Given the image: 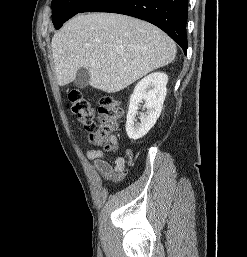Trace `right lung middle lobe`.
I'll use <instances>...</instances> for the list:
<instances>
[{"mask_svg":"<svg viewBox=\"0 0 247 257\" xmlns=\"http://www.w3.org/2000/svg\"><path fill=\"white\" fill-rule=\"evenodd\" d=\"M92 0H52V21L56 29L79 13Z\"/></svg>","mask_w":247,"mask_h":257,"instance_id":"right-lung-middle-lobe-1","label":"right lung middle lobe"}]
</instances>
